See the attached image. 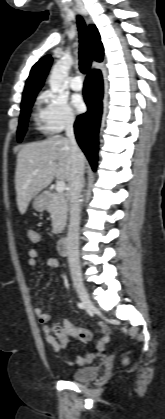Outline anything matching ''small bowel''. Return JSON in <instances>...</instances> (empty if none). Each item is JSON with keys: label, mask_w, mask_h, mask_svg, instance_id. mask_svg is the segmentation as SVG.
Instances as JSON below:
<instances>
[{"label": "small bowel", "mask_w": 165, "mask_h": 419, "mask_svg": "<svg viewBox=\"0 0 165 419\" xmlns=\"http://www.w3.org/2000/svg\"><path fill=\"white\" fill-rule=\"evenodd\" d=\"M28 256H29L28 258L29 266L36 267L38 258H39L38 251L32 248L29 250ZM46 264L47 266L52 267V268L61 267V262L56 258L47 259ZM44 308H45L44 303L34 307V313L37 315V317L39 318V321L42 324H46L50 321V315L47 312H45ZM98 331L99 329H96L94 331H88V330L74 329V328L68 327L67 328L68 336L61 341H58L56 338H54L52 335L48 333H45L44 337H45L46 342L52 346L53 351L56 353H59L65 349L70 338L79 339L81 341H90ZM107 341H108V337L102 336L99 342L97 343V348L102 349ZM93 359H94V354L91 352H88L83 355L76 356L73 362H66V363L71 366L72 365L83 366V365L91 363Z\"/></svg>", "instance_id": "c3829d8e"}]
</instances>
